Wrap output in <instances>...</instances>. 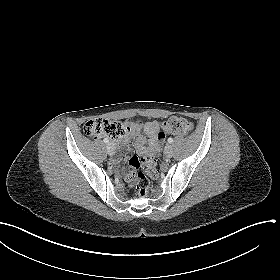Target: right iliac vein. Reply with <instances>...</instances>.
I'll return each instance as SVG.
<instances>
[{
	"instance_id": "1",
	"label": "right iliac vein",
	"mask_w": 280,
	"mask_h": 280,
	"mask_svg": "<svg viewBox=\"0 0 280 280\" xmlns=\"http://www.w3.org/2000/svg\"><path fill=\"white\" fill-rule=\"evenodd\" d=\"M106 149L109 155H113L115 153V147L112 143H108Z\"/></svg>"
}]
</instances>
